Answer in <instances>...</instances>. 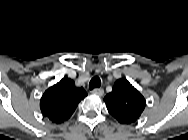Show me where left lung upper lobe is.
Here are the masks:
<instances>
[{
    "label": "left lung upper lobe",
    "mask_w": 188,
    "mask_h": 140,
    "mask_svg": "<svg viewBox=\"0 0 188 140\" xmlns=\"http://www.w3.org/2000/svg\"><path fill=\"white\" fill-rule=\"evenodd\" d=\"M104 101L110 114L122 124L134 123L146 105L141 93L124 78L115 82Z\"/></svg>",
    "instance_id": "obj_1"
}]
</instances>
